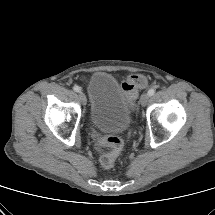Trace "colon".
Instances as JSON below:
<instances>
[{
    "label": "colon",
    "mask_w": 215,
    "mask_h": 215,
    "mask_svg": "<svg viewBox=\"0 0 215 215\" xmlns=\"http://www.w3.org/2000/svg\"><path fill=\"white\" fill-rule=\"evenodd\" d=\"M146 86V79L139 74L131 75L124 83H122V91L125 94L131 107H134L138 97L139 90ZM99 144L108 148V151L100 157V164L105 169L114 166L115 161L123 148V141L118 136H106L99 139Z\"/></svg>",
    "instance_id": "1"
}]
</instances>
